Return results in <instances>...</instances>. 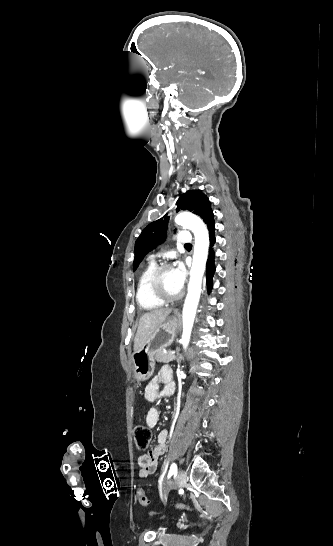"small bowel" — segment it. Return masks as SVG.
Returning a JSON list of instances; mask_svg holds the SVG:
<instances>
[{"instance_id": "1", "label": "small bowel", "mask_w": 333, "mask_h": 546, "mask_svg": "<svg viewBox=\"0 0 333 546\" xmlns=\"http://www.w3.org/2000/svg\"><path fill=\"white\" fill-rule=\"evenodd\" d=\"M174 391V382L172 381V371L169 366H163L159 369L154 378L148 383L144 390V399L151 404H155L165 395H170ZM159 410L152 406L146 414V424L153 428L159 421ZM168 438L167 430H161L156 438L154 447L145 454L138 457L139 476L146 478L156 471L157 459L165 453L166 442Z\"/></svg>"}]
</instances>
